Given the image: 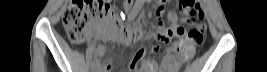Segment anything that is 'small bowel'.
I'll return each instance as SVG.
<instances>
[{"label":"small bowel","instance_id":"c3829d8e","mask_svg":"<svg viewBox=\"0 0 267 72\" xmlns=\"http://www.w3.org/2000/svg\"><path fill=\"white\" fill-rule=\"evenodd\" d=\"M200 7V5H199ZM123 10H128L129 6L128 4H124L122 6ZM204 13L202 10L197 15V18H203ZM170 22H171V27L169 28V31L171 32L172 37H180L181 32L179 31V28H182L180 24V19L177 16V14L172 13L169 17ZM105 20H98L94 26L90 27L86 34L90 38H95V39H101L103 41L109 40V39H115L120 43L127 44L128 40L121 34L113 31V30H108L106 28L107 23ZM180 42H182V39H180ZM93 49V54L99 59L96 61V65L98 67V71H108L109 65L106 63L105 59L103 58L106 52V47L104 44H99V45H91ZM176 47V45H175ZM146 50V46H142L137 50L135 53L130 71L134 72H173L174 69L176 68V59L175 56L171 53H168L164 56L162 61L160 62V65L158 66L157 63L153 60L146 59L144 61V66L140 69H138V65L141 63L144 57V53ZM155 51H158L156 47L154 48Z\"/></svg>","mask_w":267,"mask_h":72}]
</instances>
